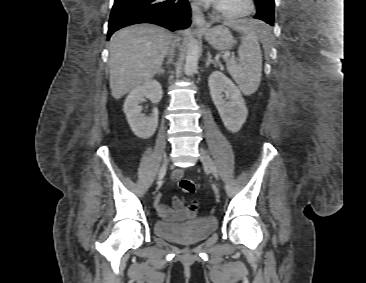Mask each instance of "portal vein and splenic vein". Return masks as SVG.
<instances>
[{"instance_id": "obj_1", "label": "portal vein and splenic vein", "mask_w": 366, "mask_h": 283, "mask_svg": "<svg viewBox=\"0 0 366 283\" xmlns=\"http://www.w3.org/2000/svg\"><path fill=\"white\" fill-rule=\"evenodd\" d=\"M229 56H230V53H229V52H226V53L224 54V58H225V59H227Z\"/></svg>"}]
</instances>
